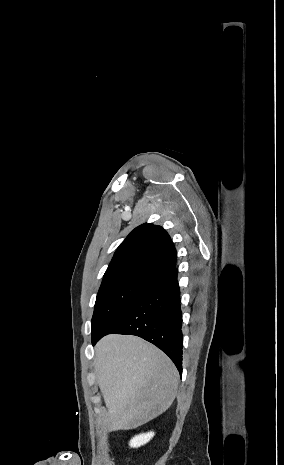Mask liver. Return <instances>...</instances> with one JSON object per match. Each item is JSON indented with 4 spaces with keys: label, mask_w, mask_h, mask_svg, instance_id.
<instances>
[{
    "label": "liver",
    "mask_w": 284,
    "mask_h": 465,
    "mask_svg": "<svg viewBox=\"0 0 284 465\" xmlns=\"http://www.w3.org/2000/svg\"><path fill=\"white\" fill-rule=\"evenodd\" d=\"M94 365L108 409V419L98 421L102 429H137L165 413L176 397L175 365L139 337H104L95 347Z\"/></svg>",
    "instance_id": "liver-1"
}]
</instances>
